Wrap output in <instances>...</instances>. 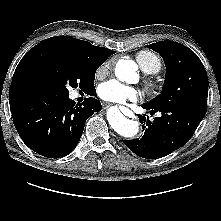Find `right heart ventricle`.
<instances>
[{"label":"right heart ventricle","instance_id":"1","mask_svg":"<svg viewBox=\"0 0 221 221\" xmlns=\"http://www.w3.org/2000/svg\"><path fill=\"white\" fill-rule=\"evenodd\" d=\"M136 60L141 69L147 74H155L161 70V60L153 52L140 51L136 54Z\"/></svg>","mask_w":221,"mask_h":221}]
</instances>
